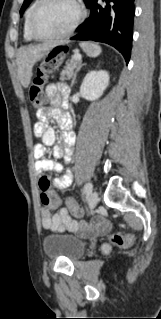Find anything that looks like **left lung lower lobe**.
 Segmentation results:
<instances>
[{"label":"left lung lower lobe","mask_w":161,"mask_h":319,"mask_svg":"<svg viewBox=\"0 0 161 319\" xmlns=\"http://www.w3.org/2000/svg\"><path fill=\"white\" fill-rule=\"evenodd\" d=\"M106 5L98 4V0H90L86 5L90 8V17L76 29L78 34L71 40H93L104 42L115 47L129 62L135 15L134 0H103Z\"/></svg>","instance_id":"obj_1"}]
</instances>
